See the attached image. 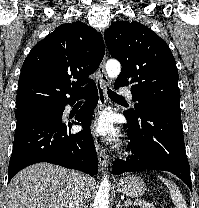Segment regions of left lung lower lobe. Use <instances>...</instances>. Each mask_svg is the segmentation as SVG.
<instances>
[{"label":"left lung lower lobe","instance_id":"0a47b994","mask_svg":"<svg viewBox=\"0 0 199 208\" xmlns=\"http://www.w3.org/2000/svg\"><path fill=\"white\" fill-rule=\"evenodd\" d=\"M124 115L128 121L124 128L130 140L129 150L133 154L126 161H115L113 173L145 169L168 171L192 190L181 112L142 108L138 118Z\"/></svg>","mask_w":199,"mask_h":208}]
</instances>
